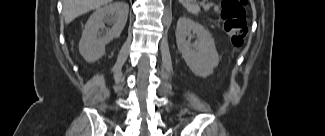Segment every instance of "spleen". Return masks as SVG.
Wrapping results in <instances>:
<instances>
[{"instance_id": "obj_1", "label": "spleen", "mask_w": 325, "mask_h": 136, "mask_svg": "<svg viewBox=\"0 0 325 136\" xmlns=\"http://www.w3.org/2000/svg\"><path fill=\"white\" fill-rule=\"evenodd\" d=\"M180 2L187 9L188 12H190L192 14L199 13L200 7L197 4L191 3V1H189V0H181Z\"/></svg>"}]
</instances>
